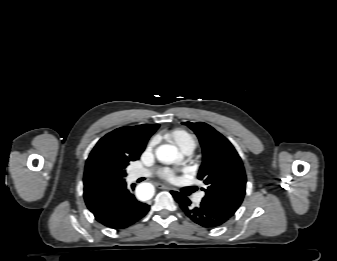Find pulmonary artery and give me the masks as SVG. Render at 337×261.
<instances>
[{"instance_id": "1", "label": "pulmonary artery", "mask_w": 337, "mask_h": 261, "mask_svg": "<svg viewBox=\"0 0 337 261\" xmlns=\"http://www.w3.org/2000/svg\"><path fill=\"white\" fill-rule=\"evenodd\" d=\"M194 148L190 147V148H186L183 150V153L185 155H190L192 154ZM152 175V172L150 170H147V169H135L131 172L130 174V178L132 180H135V179H138L140 177H149ZM201 198H202V194H198L196 197H195V202L198 203L201 201Z\"/></svg>"}]
</instances>
